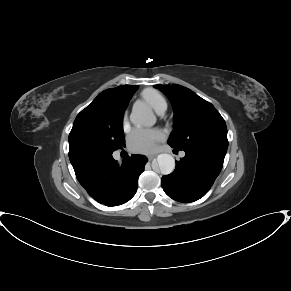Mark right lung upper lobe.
Here are the masks:
<instances>
[{"mask_svg":"<svg viewBox=\"0 0 291 291\" xmlns=\"http://www.w3.org/2000/svg\"><path fill=\"white\" fill-rule=\"evenodd\" d=\"M137 85H123L116 88H111L104 90L102 93H100L95 99V101L110 97V96H117L122 99H129L133 95V93L136 91Z\"/></svg>","mask_w":291,"mask_h":291,"instance_id":"obj_1","label":"right lung upper lobe"}]
</instances>
